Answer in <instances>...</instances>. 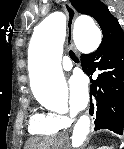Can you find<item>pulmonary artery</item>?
Segmentation results:
<instances>
[{"instance_id": "obj_1", "label": "pulmonary artery", "mask_w": 124, "mask_h": 149, "mask_svg": "<svg viewBox=\"0 0 124 149\" xmlns=\"http://www.w3.org/2000/svg\"><path fill=\"white\" fill-rule=\"evenodd\" d=\"M62 66L64 70H70L72 67L71 59L68 56L63 58Z\"/></svg>"}]
</instances>
